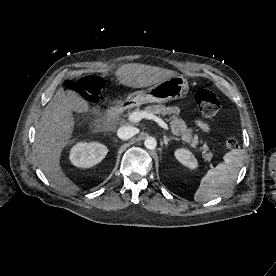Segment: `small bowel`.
<instances>
[{
  "instance_id": "small-bowel-1",
  "label": "small bowel",
  "mask_w": 276,
  "mask_h": 276,
  "mask_svg": "<svg viewBox=\"0 0 276 276\" xmlns=\"http://www.w3.org/2000/svg\"><path fill=\"white\" fill-rule=\"evenodd\" d=\"M195 124L204 133H208L210 131L209 124L202 119H196Z\"/></svg>"
}]
</instances>
